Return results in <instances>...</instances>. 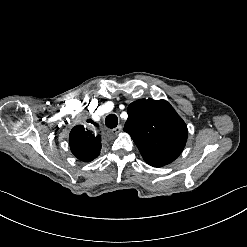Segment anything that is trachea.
<instances>
[{
    "label": "trachea",
    "instance_id": "obj_1",
    "mask_svg": "<svg viewBox=\"0 0 247 247\" xmlns=\"http://www.w3.org/2000/svg\"><path fill=\"white\" fill-rule=\"evenodd\" d=\"M105 124L108 128H115L118 124V118L115 114H110L106 117Z\"/></svg>",
    "mask_w": 247,
    "mask_h": 247
}]
</instances>
